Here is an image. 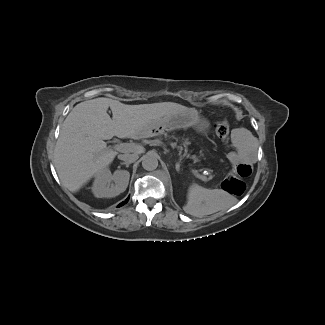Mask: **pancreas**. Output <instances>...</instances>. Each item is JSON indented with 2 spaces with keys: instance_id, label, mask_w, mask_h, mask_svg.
I'll return each instance as SVG.
<instances>
[{
  "instance_id": "cf45deb5",
  "label": "pancreas",
  "mask_w": 325,
  "mask_h": 325,
  "mask_svg": "<svg viewBox=\"0 0 325 325\" xmlns=\"http://www.w3.org/2000/svg\"><path fill=\"white\" fill-rule=\"evenodd\" d=\"M166 142L168 145L175 147L180 150L187 158L194 161L196 167L201 169L210 170V165L206 162V160L201 155V152L197 149L196 143L190 137H187L186 134H183L178 131H171L167 133ZM211 171V170H210Z\"/></svg>"
}]
</instances>
